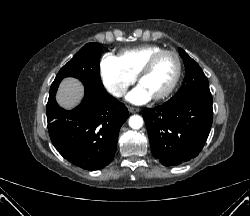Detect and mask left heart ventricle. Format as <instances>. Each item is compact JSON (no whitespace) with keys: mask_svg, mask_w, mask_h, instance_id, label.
Wrapping results in <instances>:
<instances>
[{"mask_svg":"<svg viewBox=\"0 0 250 216\" xmlns=\"http://www.w3.org/2000/svg\"><path fill=\"white\" fill-rule=\"evenodd\" d=\"M177 69L175 58L172 55H163L158 59L153 69L140 84L154 97L164 92L173 81Z\"/></svg>","mask_w":250,"mask_h":216,"instance_id":"b2bd125f","label":"left heart ventricle"}]
</instances>
